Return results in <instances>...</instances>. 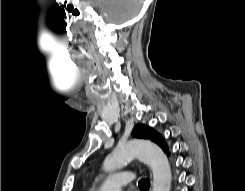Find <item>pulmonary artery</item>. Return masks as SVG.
Wrapping results in <instances>:
<instances>
[{"mask_svg":"<svg viewBox=\"0 0 245 191\" xmlns=\"http://www.w3.org/2000/svg\"><path fill=\"white\" fill-rule=\"evenodd\" d=\"M132 175L130 172H118L108 177L98 191H121L122 187L130 184Z\"/></svg>","mask_w":245,"mask_h":191,"instance_id":"1","label":"pulmonary artery"}]
</instances>
